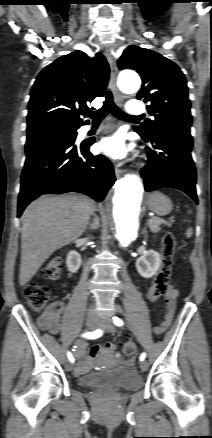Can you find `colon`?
Returning <instances> with one entry per match:
<instances>
[{"label": "colon", "mask_w": 212, "mask_h": 438, "mask_svg": "<svg viewBox=\"0 0 212 438\" xmlns=\"http://www.w3.org/2000/svg\"><path fill=\"white\" fill-rule=\"evenodd\" d=\"M176 248V238L172 232H167L162 241V263L158 270L151 288L148 290L146 298L150 302L156 301L165 295L169 288L170 275L173 264V257ZM63 268L61 258L52 259L43 269L42 276L47 280L59 278ZM24 296L30 307L35 311L42 310L50 297V289L41 284L29 283L24 288ZM123 352L132 355L135 352V345L132 341L123 344Z\"/></svg>", "instance_id": "colon-1"}]
</instances>
